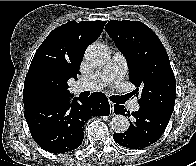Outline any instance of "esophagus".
<instances>
[{
  "label": "esophagus",
  "mask_w": 196,
  "mask_h": 166,
  "mask_svg": "<svg viewBox=\"0 0 196 166\" xmlns=\"http://www.w3.org/2000/svg\"><path fill=\"white\" fill-rule=\"evenodd\" d=\"M110 109L112 114H114V103L112 101H109Z\"/></svg>",
  "instance_id": "1"
}]
</instances>
